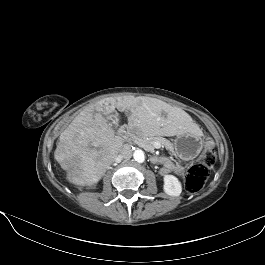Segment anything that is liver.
Listing matches in <instances>:
<instances>
[{"mask_svg": "<svg viewBox=\"0 0 265 265\" xmlns=\"http://www.w3.org/2000/svg\"><path fill=\"white\" fill-rule=\"evenodd\" d=\"M118 109L126 112L130 126L151 135L174 136L202 131L191 116L179 107L148 97H108L85 107L60 134L55 160L68 172L67 180L91 186L105 174L120 153L123 139L115 135L106 115Z\"/></svg>", "mask_w": 265, "mask_h": 265, "instance_id": "obj_1", "label": "liver"}]
</instances>
